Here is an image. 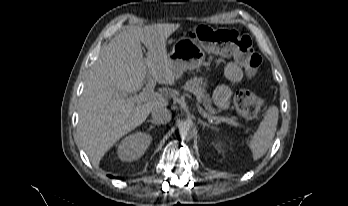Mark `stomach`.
I'll use <instances>...</instances> for the list:
<instances>
[{
  "label": "stomach",
  "instance_id": "stomach-1",
  "mask_svg": "<svg viewBox=\"0 0 348 206\" xmlns=\"http://www.w3.org/2000/svg\"><path fill=\"white\" fill-rule=\"evenodd\" d=\"M205 62V52L197 41L183 35L175 40L172 51L168 54V63L176 79L183 72L200 68Z\"/></svg>",
  "mask_w": 348,
  "mask_h": 206
}]
</instances>
